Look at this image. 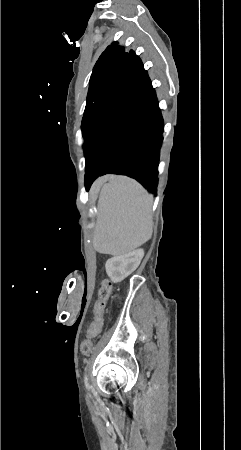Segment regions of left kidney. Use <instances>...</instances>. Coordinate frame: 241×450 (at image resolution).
Returning a JSON list of instances; mask_svg holds the SVG:
<instances>
[{"instance_id":"obj_1","label":"left kidney","mask_w":241,"mask_h":450,"mask_svg":"<svg viewBox=\"0 0 241 450\" xmlns=\"http://www.w3.org/2000/svg\"><path fill=\"white\" fill-rule=\"evenodd\" d=\"M143 256L144 250H134V252L124 254V256H114V258L107 260L105 268L110 280H112L114 284L125 280L127 276H130L132 272H135Z\"/></svg>"}]
</instances>
